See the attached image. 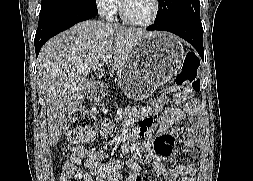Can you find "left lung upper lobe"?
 <instances>
[{
    "mask_svg": "<svg viewBox=\"0 0 253 181\" xmlns=\"http://www.w3.org/2000/svg\"><path fill=\"white\" fill-rule=\"evenodd\" d=\"M159 10L154 23L175 19L200 18L199 0H159Z\"/></svg>",
    "mask_w": 253,
    "mask_h": 181,
    "instance_id": "obj_1",
    "label": "left lung upper lobe"
}]
</instances>
